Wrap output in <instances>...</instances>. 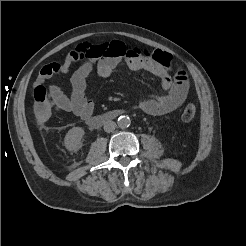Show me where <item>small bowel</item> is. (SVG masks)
<instances>
[{
	"label": "small bowel",
	"instance_id": "1",
	"mask_svg": "<svg viewBox=\"0 0 246 246\" xmlns=\"http://www.w3.org/2000/svg\"><path fill=\"white\" fill-rule=\"evenodd\" d=\"M160 52L172 61L169 54ZM122 61L130 70L148 72L160 81V92L139 99L135 105L138 110L151 116H161L173 112L184 103L189 83L186 71L179 64L172 62L173 69H170L121 41L77 45L62 63L43 66L35 80V87L53 76L68 74L77 65L70 78L71 94L68 96L57 84H50L49 98L55 111L73 113L87 120L94 111L93 101L85 96L88 76L96 68L100 77L108 78Z\"/></svg>",
	"mask_w": 246,
	"mask_h": 246
}]
</instances>
